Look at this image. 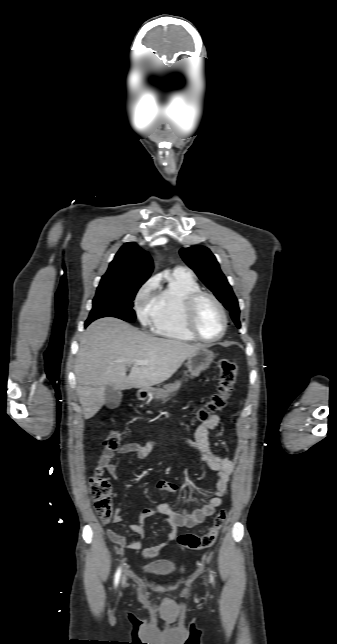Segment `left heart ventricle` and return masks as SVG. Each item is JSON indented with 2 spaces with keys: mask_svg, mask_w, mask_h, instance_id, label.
<instances>
[{
  "mask_svg": "<svg viewBox=\"0 0 337 644\" xmlns=\"http://www.w3.org/2000/svg\"><path fill=\"white\" fill-rule=\"evenodd\" d=\"M196 326L207 339L215 338L221 332L222 316L218 307L208 298L202 299L198 305Z\"/></svg>",
  "mask_w": 337,
  "mask_h": 644,
  "instance_id": "left-heart-ventricle-1",
  "label": "left heart ventricle"
}]
</instances>
